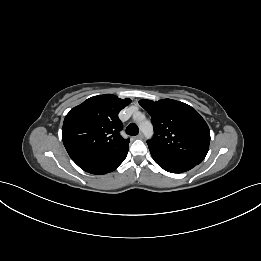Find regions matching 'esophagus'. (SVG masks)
<instances>
[{"mask_svg":"<svg viewBox=\"0 0 261 261\" xmlns=\"http://www.w3.org/2000/svg\"><path fill=\"white\" fill-rule=\"evenodd\" d=\"M137 139H143L144 138V134L143 133H139L137 136H136Z\"/></svg>","mask_w":261,"mask_h":261,"instance_id":"1","label":"esophagus"}]
</instances>
